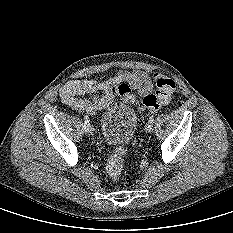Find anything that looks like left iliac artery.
<instances>
[{
    "instance_id": "left-iliac-artery-1",
    "label": "left iliac artery",
    "mask_w": 233,
    "mask_h": 233,
    "mask_svg": "<svg viewBox=\"0 0 233 233\" xmlns=\"http://www.w3.org/2000/svg\"><path fill=\"white\" fill-rule=\"evenodd\" d=\"M153 122H154V115H151L149 120H148V123H150L151 125H153Z\"/></svg>"
}]
</instances>
